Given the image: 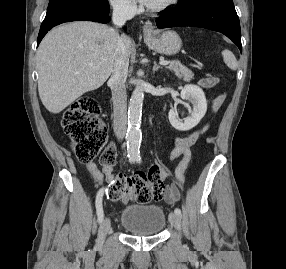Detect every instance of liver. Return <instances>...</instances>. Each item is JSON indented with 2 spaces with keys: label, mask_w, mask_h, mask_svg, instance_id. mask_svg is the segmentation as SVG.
<instances>
[{
  "label": "liver",
  "mask_w": 286,
  "mask_h": 269,
  "mask_svg": "<svg viewBox=\"0 0 286 269\" xmlns=\"http://www.w3.org/2000/svg\"><path fill=\"white\" fill-rule=\"evenodd\" d=\"M118 33L99 23L78 21L52 29L37 51L38 91L45 108L57 114L113 72ZM128 54L132 41L126 36Z\"/></svg>",
  "instance_id": "obj_1"
}]
</instances>
